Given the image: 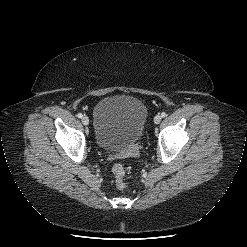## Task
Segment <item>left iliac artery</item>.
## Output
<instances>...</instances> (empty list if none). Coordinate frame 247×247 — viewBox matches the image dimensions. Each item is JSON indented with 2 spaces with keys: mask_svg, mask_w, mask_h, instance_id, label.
I'll use <instances>...</instances> for the list:
<instances>
[{
  "mask_svg": "<svg viewBox=\"0 0 247 247\" xmlns=\"http://www.w3.org/2000/svg\"><path fill=\"white\" fill-rule=\"evenodd\" d=\"M161 116L164 118V117L167 116V113H166V112H162V113H161Z\"/></svg>",
  "mask_w": 247,
  "mask_h": 247,
  "instance_id": "1",
  "label": "left iliac artery"
}]
</instances>
